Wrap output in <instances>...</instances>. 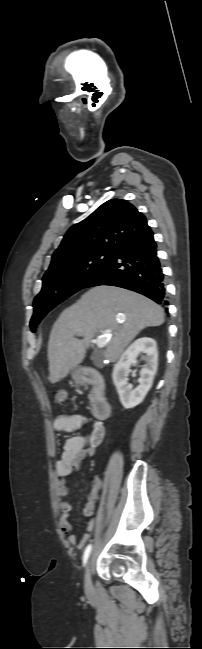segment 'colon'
<instances>
[{
  "label": "colon",
  "mask_w": 202,
  "mask_h": 649,
  "mask_svg": "<svg viewBox=\"0 0 202 649\" xmlns=\"http://www.w3.org/2000/svg\"><path fill=\"white\" fill-rule=\"evenodd\" d=\"M57 404L64 405L68 400V392L66 390H59L55 394Z\"/></svg>",
  "instance_id": "colon-1"
}]
</instances>
